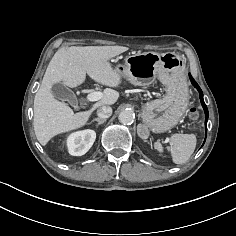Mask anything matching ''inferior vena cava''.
Segmentation results:
<instances>
[{
  "instance_id": "602c4592",
  "label": "inferior vena cava",
  "mask_w": 236,
  "mask_h": 236,
  "mask_svg": "<svg viewBox=\"0 0 236 236\" xmlns=\"http://www.w3.org/2000/svg\"><path fill=\"white\" fill-rule=\"evenodd\" d=\"M97 115L103 119L109 118L112 115V108L110 106L103 105L98 108Z\"/></svg>"
}]
</instances>
